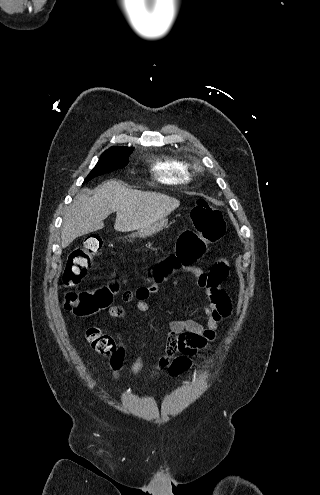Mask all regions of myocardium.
I'll return each mask as SVG.
<instances>
[{"instance_id":"f54148a6","label":"myocardium","mask_w":320,"mask_h":495,"mask_svg":"<svg viewBox=\"0 0 320 495\" xmlns=\"http://www.w3.org/2000/svg\"><path fill=\"white\" fill-rule=\"evenodd\" d=\"M193 168H194L195 170H197V171H200V170L202 169V168H201V166H200V165H198V164H194V165H193Z\"/></svg>"}]
</instances>
